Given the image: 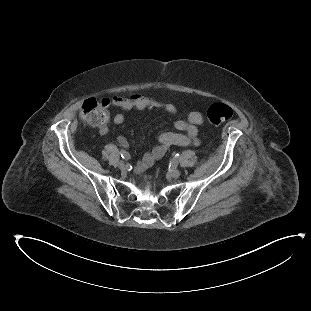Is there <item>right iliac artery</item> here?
Segmentation results:
<instances>
[{"label":"right iliac artery","instance_id":"obj_1","mask_svg":"<svg viewBox=\"0 0 311 311\" xmlns=\"http://www.w3.org/2000/svg\"><path fill=\"white\" fill-rule=\"evenodd\" d=\"M120 154H121V157H122L123 159H125V160L130 159L129 153L126 152L125 150L121 149Z\"/></svg>","mask_w":311,"mask_h":311}]
</instances>
